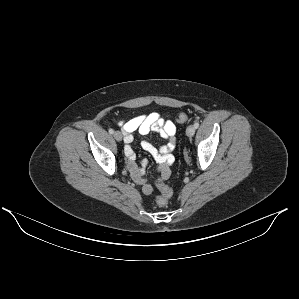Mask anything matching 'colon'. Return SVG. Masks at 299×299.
I'll return each mask as SVG.
<instances>
[{"label":"colon","instance_id":"colon-1","mask_svg":"<svg viewBox=\"0 0 299 299\" xmlns=\"http://www.w3.org/2000/svg\"><path fill=\"white\" fill-rule=\"evenodd\" d=\"M187 119H188L187 114L181 113L177 118V122L183 123L187 121ZM160 190H161V196L157 198V204L160 207H165L167 205L168 199L172 196V189L168 185L162 183L160 184Z\"/></svg>","mask_w":299,"mask_h":299}]
</instances>
